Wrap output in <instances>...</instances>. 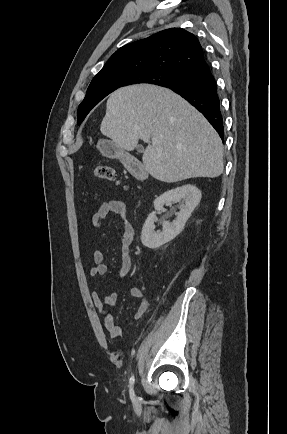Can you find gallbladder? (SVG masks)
<instances>
[{
  "label": "gallbladder",
  "instance_id": "bac80fb5",
  "mask_svg": "<svg viewBox=\"0 0 287 434\" xmlns=\"http://www.w3.org/2000/svg\"><path fill=\"white\" fill-rule=\"evenodd\" d=\"M139 151H143V148L141 146H138Z\"/></svg>",
  "mask_w": 287,
  "mask_h": 434
}]
</instances>
